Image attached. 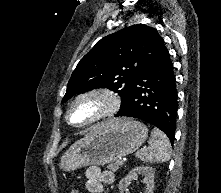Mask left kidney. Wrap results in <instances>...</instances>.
<instances>
[{"mask_svg":"<svg viewBox=\"0 0 221 193\" xmlns=\"http://www.w3.org/2000/svg\"><path fill=\"white\" fill-rule=\"evenodd\" d=\"M139 175L144 176L143 183L145 184L144 193H153L154 188V169L149 166H139L132 169L129 174L120 180L119 192L124 193L130 181Z\"/></svg>","mask_w":221,"mask_h":193,"instance_id":"1","label":"left kidney"}]
</instances>
